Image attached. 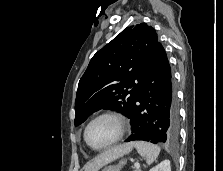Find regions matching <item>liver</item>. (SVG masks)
<instances>
[{"label":"liver","instance_id":"liver-1","mask_svg":"<svg viewBox=\"0 0 223 171\" xmlns=\"http://www.w3.org/2000/svg\"><path fill=\"white\" fill-rule=\"evenodd\" d=\"M132 148V143H126L105 150L88 162L84 167V171H98L102 166L131 152Z\"/></svg>","mask_w":223,"mask_h":171}]
</instances>
